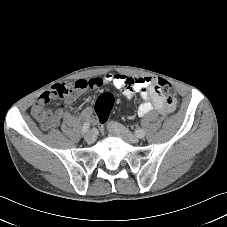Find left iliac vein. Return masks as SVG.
I'll list each match as a JSON object with an SVG mask.
<instances>
[{
	"label": "left iliac vein",
	"instance_id": "4c4485c4",
	"mask_svg": "<svg viewBox=\"0 0 227 227\" xmlns=\"http://www.w3.org/2000/svg\"><path fill=\"white\" fill-rule=\"evenodd\" d=\"M107 128L112 135L120 137L128 143L138 142L137 136L133 135L128 129L116 122H109Z\"/></svg>",
	"mask_w": 227,
	"mask_h": 227
}]
</instances>
